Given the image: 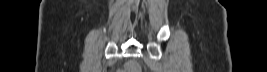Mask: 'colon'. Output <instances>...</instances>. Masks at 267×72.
Instances as JSON below:
<instances>
[{"label": "colon", "instance_id": "5ec220e1", "mask_svg": "<svg viewBox=\"0 0 267 72\" xmlns=\"http://www.w3.org/2000/svg\"><path fill=\"white\" fill-rule=\"evenodd\" d=\"M126 71L127 72H138L139 71V68L133 64V63H129L126 67Z\"/></svg>", "mask_w": 267, "mask_h": 72}]
</instances>
